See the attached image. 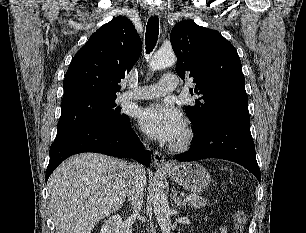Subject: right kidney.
Wrapping results in <instances>:
<instances>
[{
    "label": "right kidney",
    "instance_id": "ca27d5eb",
    "mask_svg": "<svg viewBox=\"0 0 306 233\" xmlns=\"http://www.w3.org/2000/svg\"><path fill=\"white\" fill-rule=\"evenodd\" d=\"M122 219L119 215H113L103 224L100 233H121Z\"/></svg>",
    "mask_w": 306,
    "mask_h": 233
}]
</instances>
